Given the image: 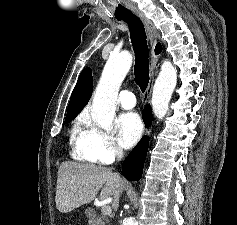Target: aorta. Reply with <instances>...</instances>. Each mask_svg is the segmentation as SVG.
I'll return each instance as SVG.
<instances>
[{
    "mask_svg": "<svg viewBox=\"0 0 237 225\" xmlns=\"http://www.w3.org/2000/svg\"><path fill=\"white\" fill-rule=\"evenodd\" d=\"M131 65L132 55L129 52L111 54L96 88L91 116L93 121L107 132L111 131L115 117L119 87ZM176 83V68L169 61H164L155 81L151 99L153 112L158 119L166 115ZM122 225H137V221L135 217H128L123 220Z\"/></svg>",
    "mask_w": 237,
    "mask_h": 225,
    "instance_id": "762f6f07",
    "label": "aorta"
}]
</instances>
